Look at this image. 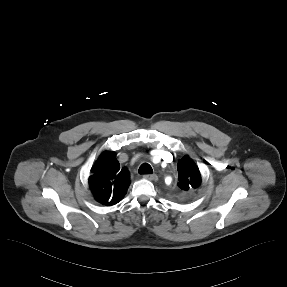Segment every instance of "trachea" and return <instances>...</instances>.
I'll list each match as a JSON object with an SVG mask.
<instances>
[{
  "mask_svg": "<svg viewBox=\"0 0 287 287\" xmlns=\"http://www.w3.org/2000/svg\"><path fill=\"white\" fill-rule=\"evenodd\" d=\"M139 174H151L153 173L152 167L148 163H143L138 170Z\"/></svg>",
  "mask_w": 287,
  "mask_h": 287,
  "instance_id": "3493384b",
  "label": "trachea"
}]
</instances>
